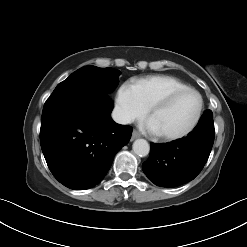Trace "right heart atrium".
Instances as JSON below:
<instances>
[{
	"instance_id": "obj_1",
	"label": "right heart atrium",
	"mask_w": 247,
	"mask_h": 247,
	"mask_svg": "<svg viewBox=\"0 0 247 247\" xmlns=\"http://www.w3.org/2000/svg\"><path fill=\"white\" fill-rule=\"evenodd\" d=\"M115 110L119 119L124 123L140 119L147 112L136 86L130 83H124L119 87Z\"/></svg>"
}]
</instances>
